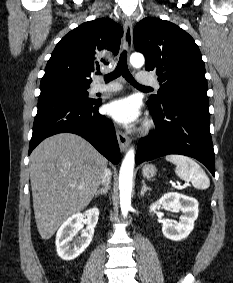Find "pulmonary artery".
Here are the masks:
<instances>
[{
  "mask_svg": "<svg viewBox=\"0 0 233 283\" xmlns=\"http://www.w3.org/2000/svg\"><path fill=\"white\" fill-rule=\"evenodd\" d=\"M138 83L143 86H153L155 88H159V83L158 81L147 74L144 73H139L137 76ZM121 86L118 83H111L108 85H103V84H96L93 87L94 92H102V93H107V92H115L120 90Z\"/></svg>",
  "mask_w": 233,
  "mask_h": 283,
  "instance_id": "pulmonary-artery-1",
  "label": "pulmonary artery"
}]
</instances>
